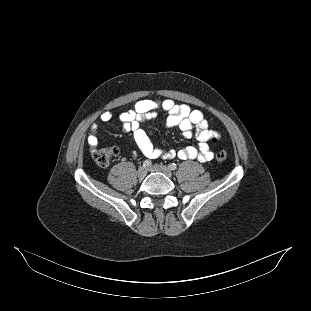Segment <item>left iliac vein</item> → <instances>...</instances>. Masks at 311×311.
Wrapping results in <instances>:
<instances>
[{
    "label": "left iliac vein",
    "instance_id": "1",
    "mask_svg": "<svg viewBox=\"0 0 311 311\" xmlns=\"http://www.w3.org/2000/svg\"><path fill=\"white\" fill-rule=\"evenodd\" d=\"M149 171H151V172H160V173L165 174L168 177L172 176L171 170L167 166H165V165H158V164L152 165L149 168Z\"/></svg>",
    "mask_w": 311,
    "mask_h": 311
}]
</instances>
